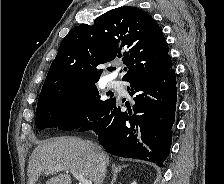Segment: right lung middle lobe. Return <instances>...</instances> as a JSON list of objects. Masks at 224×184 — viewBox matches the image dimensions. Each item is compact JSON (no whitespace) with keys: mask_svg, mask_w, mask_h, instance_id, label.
Returning a JSON list of instances; mask_svg holds the SVG:
<instances>
[{"mask_svg":"<svg viewBox=\"0 0 224 184\" xmlns=\"http://www.w3.org/2000/svg\"><path fill=\"white\" fill-rule=\"evenodd\" d=\"M95 83L75 84L39 101L36 126L72 131L96 120L112 99L101 100Z\"/></svg>","mask_w":224,"mask_h":184,"instance_id":"dd1d6c3e","label":"right lung middle lobe"}]
</instances>
